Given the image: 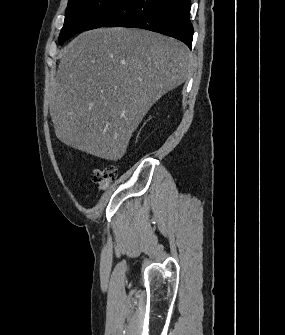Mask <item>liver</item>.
<instances>
[{
	"mask_svg": "<svg viewBox=\"0 0 285 335\" xmlns=\"http://www.w3.org/2000/svg\"><path fill=\"white\" fill-rule=\"evenodd\" d=\"M59 56L50 92L56 138L114 162L148 110L183 84L191 68L181 42L127 28L83 32Z\"/></svg>",
	"mask_w": 285,
	"mask_h": 335,
	"instance_id": "obj_1",
	"label": "liver"
}]
</instances>
